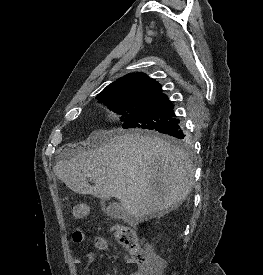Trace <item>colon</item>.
<instances>
[{"mask_svg":"<svg viewBox=\"0 0 263 275\" xmlns=\"http://www.w3.org/2000/svg\"><path fill=\"white\" fill-rule=\"evenodd\" d=\"M87 207L83 204L73 206L72 215L75 219H83L87 216ZM117 242L130 254L134 265L140 270L141 275H158L162 264L158 260L151 259L138 242L134 230L125 225H117L112 228Z\"/></svg>","mask_w":263,"mask_h":275,"instance_id":"1","label":"colon"}]
</instances>
